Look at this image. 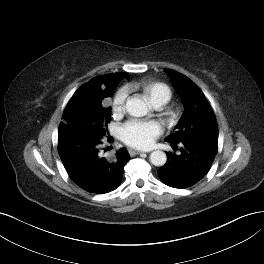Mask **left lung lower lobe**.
I'll return each mask as SVG.
<instances>
[{"label": "left lung lower lobe", "mask_w": 264, "mask_h": 264, "mask_svg": "<svg viewBox=\"0 0 264 264\" xmlns=\"http://www.w3.org/2000/svg\"><path fill=\"white\" fill-rule=\"evenodd\" d=\"M171 146L176 150V144ZM180 153L167 152L166 164L158 170L159 178L173 188H187L199 182L210 169L217 153V143L195 139L179 143Z\"/></svg>", "instance_id": "0a47b994"}]
</instances>
